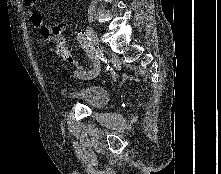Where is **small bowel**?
I'll return each mask as SVG.
<instances>
[{
	"instance_id": "obj_1",
	"label": "small bowel",
	"mask_w": 221,
	"mask_h": 174,
	"mask_svg": "<svg viewBox=\"0 0 221 174\" xmlns=\"http://www.w3.org/2000/svg\"><path fill=\"white\" fill-rule=\"evenodd\" d=\"M29 8V15L34 28L41 31L44 26L41 11L38 6V0H25ZM67 27V21L65 19L60 20L54 25V28L58 29L61 33Z\"/></svg>"
}]
</instances>
